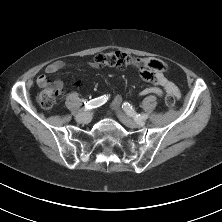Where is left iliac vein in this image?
I'll return each mask as SVG.
<instances>
[{
	"label": "left iliac vein",
	"instance_id": "left-iliac-vein-1",
	"mask_svg": "<svg viewBox=\"0 0 222 222\" xmlns=\"http://www.w3.org/2000/svg\"><path fill=\"white\" fill-rule=\"evenodd\" d=\"M116 113H117V116L118 118L120 119V121L122 123H124L127 127H130V128H139V127H143L145 125V121L142 120V121H135L131 118H129L126 114H124L120 109L119 107L117 106L116 107Z\"/></svg>",
	"mask_w": 222,
	"mask_h": 222
}]
</instances>
